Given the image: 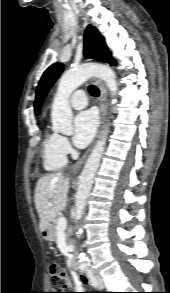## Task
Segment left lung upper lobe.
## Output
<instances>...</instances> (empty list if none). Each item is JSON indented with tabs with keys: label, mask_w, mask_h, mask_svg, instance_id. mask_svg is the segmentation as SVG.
<instances>
[{
	"label": "left lung upper lobe",
	"mask_w": 170,
	"mask_h": 293,
	"mask_svg": "<svg viewBox=\"0 0 170 293\" xmlns=\"http://www.w3.org/2000/svg\"><path fill=\"white\" fill-rule=\"evenodd\" d=\"M84 46L85 56L95 58L97 60H102L108 63H111L113 61L111 53L105 45L103 36L100 35L95 27L88 26V28L86 29ZM62 70L63 65L60 63H55L44 72L36 92V100L34 103L36 113L39 112L45 95L47 94L55 80L58 78V76L61 74Z\"/></svg>",
	"instance_id": "left-lung-upper-lobe-1"
}]
</instances>
